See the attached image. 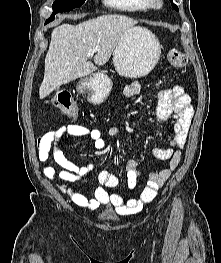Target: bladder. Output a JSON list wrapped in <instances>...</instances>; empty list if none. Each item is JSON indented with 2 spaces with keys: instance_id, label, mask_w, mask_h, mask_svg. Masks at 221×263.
Segmentation results:
<instances>
[{
  "instance_id": "31cf9c89",
  "label": "bladder",
  "mask_w": 221,
  "mask_h": 263,
  "mask_svg": "<svg viewBox=\"0 0 221 263\" xmlns=\"http://www.w3.org/2000/svg\"><path fill=\"white\" fill-rule=\"evenodd\" d=\"M102 220L104 221H114L115 220V216L113 215H105L101 217Z\"/></svg>"
}]
</instances>
